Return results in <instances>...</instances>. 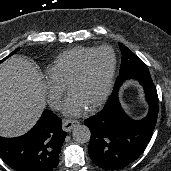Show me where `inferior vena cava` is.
Instances as JSON below:
<instances>
[{
	"instance_id": "602c4592",
	"label": "inferior vena cava",
	"mask_w": 171,
	"mask_h": 171,
	"mask_svg": "<svg viewBox=\"0 0 171 171\" xmlns=\"http://www.w3.org/2000/svg\"><path fill=\"white\" fill-rule=\"evenodd\" d=\"M51 107H53L54 109H59L60 108V102L59 101L53 102Z\"/></svg>"
}]
</instances>
